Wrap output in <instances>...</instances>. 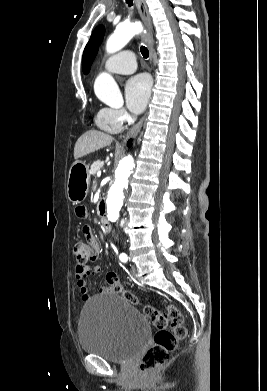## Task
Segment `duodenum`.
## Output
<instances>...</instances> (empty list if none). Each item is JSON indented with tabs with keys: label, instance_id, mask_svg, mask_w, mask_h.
I'll list each match as a JSON object with an SVG mask.
<instances>
[{
	"label": "duodenum",
	"instance_id": "410a0bca",
	"mask_svg": "<svg viewBox=\"0 0 267 391\" xmlns=\"http://www.w3.org/2000/svg\"><path fill=\"white\" fill-rule=\"evenodd\" d=\"M100 222H101L102 227L105 230L110 229V224H109V221L107 220L106 216L104 215V207L102 205H100Z\"/></svg>",
	"mask_w": 267,
	"mask_h": 391
}]
</instances>
